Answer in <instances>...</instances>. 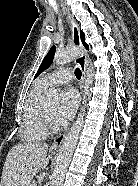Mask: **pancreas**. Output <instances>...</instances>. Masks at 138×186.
Returning <instances> with one entry per match:
<instances>
[{
    "label": "pancreas",
    "mask_w": 138,
    "mask_h": 186,
    "mask_svg": "<svg viewBox=\"0 0 138 186\" xmlns=\"http://www.w3.org/2000/svg\"><path fill=\"white\" fill-rule=\"evenodd\" d=\"M29 186H37V183L33 181Z\"/></svg>",
    "instance_id": "pancreas-1"
}]
</instances>
